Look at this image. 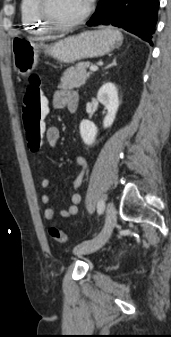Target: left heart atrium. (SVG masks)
Instances as JSON below:
<instances>
[{"mask_svg":"<svg viewBox=\"0 0 171 337\" xmlns=\"http://www.w3.org/2000/svg\"><path fill=\"white\" fill-rule=\"evenodd\" d=\"M91 1H92V0H86V2H87L88 4H90V3H91Z\"/></svg>","mask_w":171,"mask_h":337,"instance_id":"obj_1","label":"left heart atrium"}]
</instances>
